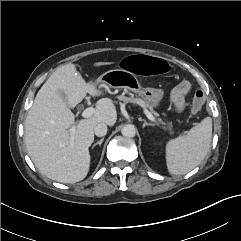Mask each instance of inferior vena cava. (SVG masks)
Wrapping results in <instances>:
<instances>
[{"mask_svg":"<svg viewBox=\"0 0 241 241\" xmlns=\"http://www.w3.org/2000/svg\"><path fill=\"white\" fill-rule=\"evenodd\" d=\"M95 135L98 137H103L107 133V125L105 123H99L94 129Z\"/></svg>","mask_w":241,"mask_h":241,"instance_id":"obj_1","label":"inferior vena cava"}]
</instances>
